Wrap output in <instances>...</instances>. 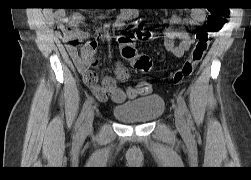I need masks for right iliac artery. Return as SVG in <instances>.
Segmentation results:
<instances>
[{"instance_id": "right-iliac-artery-1", "label": "right iliac artery", "mask_w": 251, "mask_h": 180, "mask_svg": "<svg viewBox=\"0 0 251 180\" xmlns=\"http://www.w3.org/2000/svg\"><path fill=\"white\" fill-rule=\"evenodd\" d=\"M93 103V98L90 96L87 98V100L83 104V108L81 110L80 116L78 118L77 126L81 128V124L84 121L88 111L91 108V105Z\"/></svg>"}]
</instances>
